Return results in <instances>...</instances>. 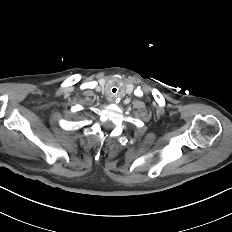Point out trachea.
I'll return each instance as SVG.
<instances>
[{
    "instance_id": "trachea-1",
    "label": "trachea",
    "mask_w": 232,
    "mask_h": 232,
    "mask_svg": "<svg viewBox=\"0 0 232 232\" xmlns=\"http://www.w3.org/2000/svg\"><path fill=\"white\" fill-rule=\"evenodd\" d=\"M120 92V89L117 86H112L110 88V94L112 96L117 95Z\"/></svg>"
}]
</instances>
